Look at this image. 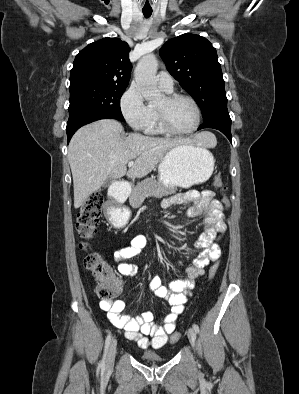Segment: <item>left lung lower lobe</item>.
I'll use <instances>...</instances> for the list:
<instances>
[{
	"label": "left lung lower lobe",
	"instance_id": "1",
	"mask_svg": "<svg viewBox=\"0 0 299 394\" xmlns=\"http://www.w3.org/2000/svg\"><path fill=\"white\" fill-rule=\"evenodd\" d=\"M203 128L217 129L221 131L231 142V119L228 113L217 114L205 120L198 130Z\"/></svg>",
	"mask_w": 299,
	"mask_h": 394
}]
</instances>
